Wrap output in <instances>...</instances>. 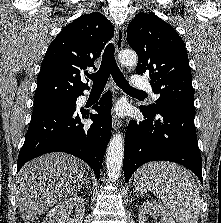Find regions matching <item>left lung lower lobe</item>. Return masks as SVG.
I'll return each instance as SVG.
<instances>
[{"instance_id":"obj_1","label":"left lung lower lobe","mask_w":221,"mask_h":223,"mask_svg":"<svg viewBox=\"0 0 221 223\" xmlns=\"http://www.w3.org/2000/svg\"><path fill=\"white\" fill-rule=\"evenodd\" d=\"M140 110L145 120L132 121L126 131L125 182L140 166L157 160L178 163L194 172L202 181L201 154L194 126L195 112L178 107L150 112L141 106Z\"/></svg>"}]
</instances>
